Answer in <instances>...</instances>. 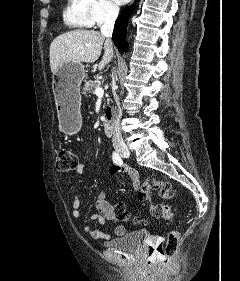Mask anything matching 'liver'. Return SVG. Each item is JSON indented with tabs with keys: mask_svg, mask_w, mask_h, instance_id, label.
<instances>
[{
	"mask_svg": "<svg viewBox=\"0 0 240 281\" xmlns=\"http://www.w3.org/2000/svg\"><path fill=\"white\" fill-rule=\"evenodd\" d=\"M104 45V55L98 65L102 70L113 57L112 42L105 40V37L95 30H72L56 37L49 50L50 67L53 74L59 68L69 62L93 63L100 54Z\"/></svg>",
	"mask_w": 240,
	"mask_h": 281,
	"instance_id": "1",
	"label": "liver"
}]
</instances>
